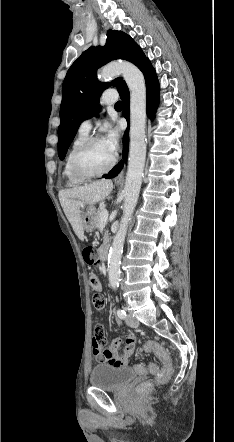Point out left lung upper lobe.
Listing matches in <instances>:
<instances>
[{
	"mask_svg": "<svg viewBox=\"0 0 234 442\" xmlns=\"http://www.w3.org/2000/svg\"><path fill=\"white\" fill-rule=\"evenodd\" d=\"M115 59H125L139 69L147 59L137 43L121 31L108 30L104 47H90L69 68L62 87L58 156L64 159L80 123L99 112L98 100L110 85L119 91L125 81L116 78L111 83L97 81V69Z\"/></svg>",
	"mask_w": 234,
	"mask_h": 442,
	"instance_id": "1",
	"label": "left lung upper lobe"
}]
</instances>
